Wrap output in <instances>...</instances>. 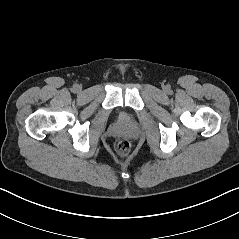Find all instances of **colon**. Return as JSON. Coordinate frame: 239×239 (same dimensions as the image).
Returning a JSON list of instances; mask_svg holds the SVG:
<instances>
[{"label":"colon","instance_id":"obj_1","mask_svg":"<svg viewBox=\"0 0 239 239\" xmlns=\"http://www.w3.org/2000/svg\"><path fill=\"white\" fill-rule=\"evenodd\" d=\"M130 144L126 139H118L115 142V149L119 154H125L129 151Z\"/></svg>","mask_w":239,"mask_h":239}]
</instances>
